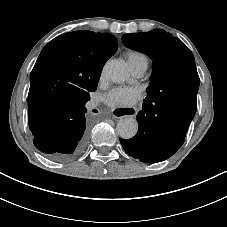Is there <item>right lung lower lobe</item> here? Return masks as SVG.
I'll use <instances>...</instances> for the list:
<instances>
[{
	"instance_id": "right-lung-lower-lobe-1",
	"label": "right lung lower lobe",
	"mask_w": 227,
	"mask_h": 227,
	"mask_svg": "<svg viewBox=\"0 0 227 227\" xmlns=\"http://www.w3.org/2000/svg\"><path fill=\"white\" fill-rule=\"evenodd\" d=\"M89 97L66 103L58 120L40 135L34 136L38 150L54 161H64L78 155L87 139L85 108Z\"/></svg>"
}]
</instances>
